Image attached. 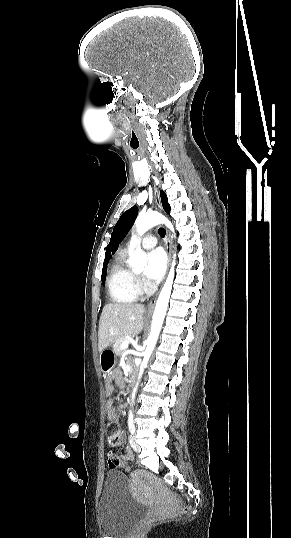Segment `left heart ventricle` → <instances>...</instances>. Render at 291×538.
<instances>
[{
	"label": "left heart ventricle",
	"instance_id": "obj_1",
	"mask_svg": "<svg viewBox=\"0 0 291 538\" xmlns=\"http://www.w3.org/2000/svg\"><path fill=\"white\" fill-rule=\"evenodd\" d=\"M137 274H138V275H141V274H142V271H137Z\"/></svg>",
	"mask_w": 291,
	"mask_h": 538
}]
</instances>
